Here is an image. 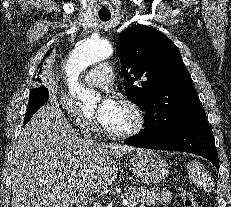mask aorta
I'll use <instances>...</instances> for the list:
<instances>
[{
	"label": "aorta",
	"instance_id": "obj_1",
	"mask_svg": "<svg viewBox=\"0 0 231 207\" xmlns=\"http://www.w3.org/2000/svg\"><path fill=\"white\" fill-rule=\"evenodd\" d=\"M113 54L112 46L103 39L90 38L71 52L65 65V72L69 80V93L80 104L84 112L93 110L99 97L78 83L80 73L90 65L109 58Z\"/></svg>",
	"mask_w": 231,
	"mask_h": 207
}]
</instances>
